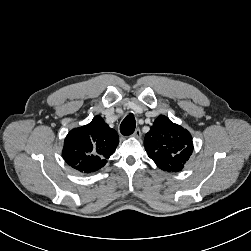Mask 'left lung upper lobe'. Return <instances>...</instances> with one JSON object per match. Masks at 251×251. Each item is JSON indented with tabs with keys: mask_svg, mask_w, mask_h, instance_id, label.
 Returning <instances> with one entry per match:
<instances>
[{
	"mask_svg": "<svg viewBox=\"0 0 251 251\" xmlns=\"http://www.w3.org/2000/svg\"><path fill=\"white\" fill-rule=\"evenodd\" d=\"M148 156L164 171H180L193 151L192 137L166 116H159L145 135Z\"/></svg>",
	"mask_w": 251,
	"mask_h": 251,
	"instance_id": "left-lung-upper-lobe-1",
	"label": "left lung upper lobe"
}]
</instances>
